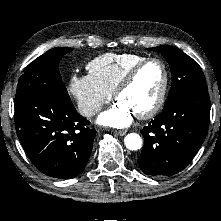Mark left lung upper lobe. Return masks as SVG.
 Returning <instances> with one entry per match:
<instances>
[{"label": "left lung upper lobe", "instance_id": "left-lung-upper-lobe-1", "mask_svg": "<svg viewBox=\"0 0 221 221\" xmlns=\"http://www.w3.org/2000/svg\"><path fill=\"white\" fill-rule=\"evenodd\" d=\"M148 50L160 52L170 65L172 85L163 110L188 94L208 90L200 66L184 52L166 45Z\"/></svg>", "mask_w": 221, "mask_h": 221}]
</instances>
